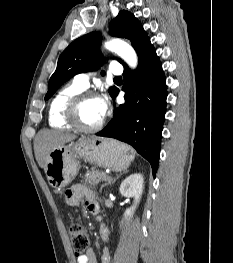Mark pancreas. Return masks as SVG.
<instances>
[{"mask_svg": "<svg viewBox=\"0 0 233 263\" xmlns=\"http://www.w3.org/2000/svg\"><path fill=\"white\" fill-rule=\"evenodd\" d=\"M109 178L105 172L100 170L88 171L85 175V181L90 184L91 187H95L101 180Z\"/></svg>", "mask_w": 233, "mask_h": 263, "instance_id": "cf45deb5", "label": "pancreas"}]
</instances>
